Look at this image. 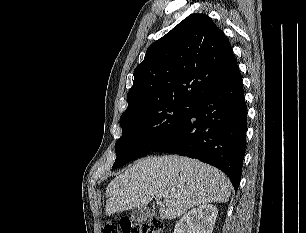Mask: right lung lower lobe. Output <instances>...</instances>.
Segmentation results:
<instances>
[{
  "label": "right lung lower lobe",
  "mask_w": 306,
  "mask_h": 233,
  "mask_svg": "<svg viewBox=\"0 0 306 233\" xmlns=\"http://www.w3.org/2000/svg\"><path fill=\"white\" fill-rule=\"evenodd\" d=\"M247 106L241 75L201 100L152 151L199 159L222 170L237 191L242 174Z\"/></svg>",
  "instance_id": "right-lung-lower-lobe-1"
}]
</instances>
